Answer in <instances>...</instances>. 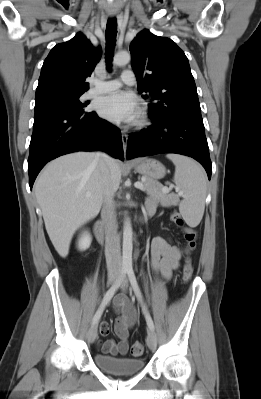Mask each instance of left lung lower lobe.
Instances as JSON below:
<instances>
[{
	"instance_id": "0a47b994",
	"label": "left lung lower lobe",
	"mask_w": 261,
	"mask_h": 399,
	"mask_svg": "<svg viewBox=\"0 0 261 399\" xmlns=\"http://www.w3.org/2000/svg\"><path fill=\"white\" fill-rule=\"evenodd\" d=\"M153 125L131 136L127 143V159L161 153H177L197 160L210 180L212 163L201 111L179 112L159 120L150 115Z\"/></svg>"
}]
</instances>
